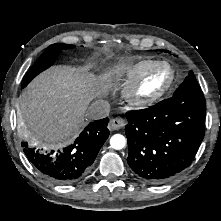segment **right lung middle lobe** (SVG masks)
<instances>
[{"label": "right lung middle lobe", "instance_id": "dd1d6c3e", "mask_svg": "<svg viewBox=\"0 0 221 221\" xmlns=\"http://www.w3.org/2000/svg\"><path fill=\"white\" fill-rule=\"evenodd\" d=\"M73 47V45L59 43L52 44L47 47L45 52L37 59L34 65L26 73L22 82V88H24L36 75L50 67L62 50Z\"/></svg>", "mask_w": 221, "mask_h": 221}]
</instances>
